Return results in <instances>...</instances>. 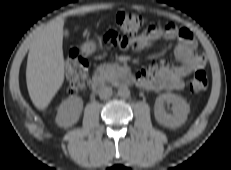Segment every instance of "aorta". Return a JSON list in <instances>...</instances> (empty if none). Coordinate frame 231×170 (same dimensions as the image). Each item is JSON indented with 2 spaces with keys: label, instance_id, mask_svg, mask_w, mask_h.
Instances as JSON below:
<instances>
[{
  "label": "aorta",
  "instance_id": "aorta-1",
  "mask_svg": "<svg viewBox=\"0 0 231 170\" xmlns=\"http://www.w3.org/2000/svg\"><path fill=\"white\" fill-rule=\"evenodd\" d=\"M117 94L122 98H128L130 96V90L128 89V87L123 86L118 89Z\"/></svg>",
  "mask_w": 231,
  "mask_h": 170
}]
</instances>
